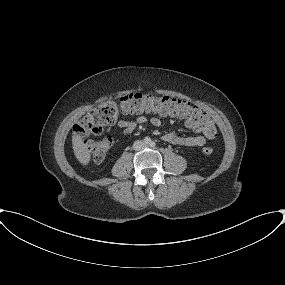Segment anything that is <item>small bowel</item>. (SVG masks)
<instances>
[{
  "mask_svg": "<svg viewBox=\"0 0 285 285\" xmlns=\"http://www.w3.org/2000/svg\"><path fill=\"white\" fill-rule=\"evenodd\" d=\"M150 122L154 126L161 125V119L157 116H152L150 118L143 114H139L134 121L129 120H119L117 122L118 127L122 129V134L124 136H129L139 124H144ZM185 124L188 128L198 131L193 127L187 120ZM214 137L208 136L206 134H196V135H183L176 132H169L163 136V140L167 143L174 145H181L187 147H200L205 144L206 139H213Z\"/></svg>",
  "mask_w": 285,
  "mask_h": 285,
  "instance_id": "small-bowel-1",
  "label": "small bowel"
}]
</instances>
